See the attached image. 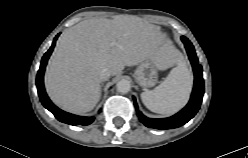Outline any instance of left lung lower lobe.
I'll return each instance as SVG.
<instances>
[{
	"label": "left lung lower lobe",
	"instance_id": "left-lung-lower-lobe-1",
	"mask_svg": "<svg viewBox=\"0 0 248 158\" xmlns=\"http://www.w3.org/2000/svg\"><path fill=\"white\" fill-rule=\"evenodd\" d=\"M181 39L185 45L186 51L188 53L194 71V88L191 95V99L184 109H182L177 114L168 118L151 119V118H147L146 116H144L142 113L139 112L138 116L140 120L145 126L149 128L163 130V129H172V128L180 127L185 123H187L192 117H194V115L197 113V111L200 108L202 97L204 94L202 67L198 63V59L195 54V50L192 43L185 36H182ZM134 104L137 107L135 99H134Z\"/></svg>",
	"mask_w": 248,
	"mask_h": 158
}]
</instances>
